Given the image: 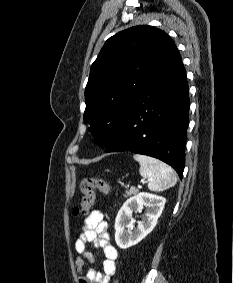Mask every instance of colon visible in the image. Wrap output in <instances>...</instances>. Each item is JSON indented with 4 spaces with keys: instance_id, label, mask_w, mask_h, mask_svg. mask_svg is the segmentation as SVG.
I'll use <instances>...</instances> for the list:
<instances>
[{
    "instance_id": "obj_1",
    "label": "colon",
    "mask_w": 233,
    "mask_h": 283,
    "mask_svg": "<svg viewBox=\"0 0 233 283\" xmlns=\"http://www.w3.org/2000/svg\"><path fill=\"white\" fill-rule=\"evenodd\" d=\"M79 190L81 193L80 203L73 209V213L76 216L87 214L94 204L95 192L99 191L103 194H108L111 190V185L101 178L84 177L80 181Z\"/></svg>"
}]
</instances>
